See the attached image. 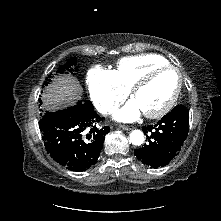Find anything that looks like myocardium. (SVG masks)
Wrapping results in <instances>:
<instances>
[{
    "instance_id": "myocardium-1",
    "label": "myocardium",
    "mask_w": 221,
    "mask_h": 221,
    "mask_svg": "<svg viewBox=\"0 0 221 221\" xmlns=\"http://www.w3.org/2000/svg\"><path fill=\"white\" fill-rule=\"evenodd\" d=\"M166 70H172V71L176 72V74L178 76L177 87H176L172 97L169 99V101L162 108H160L154 112H144V115L147 118H150V119L160 118V117L166 115L174 107V105L176 104V102L180 96L182 86H183V75H182L181 71L179 70V68H177L176 66L171 65V64L153 67V68L149 69L147 72H145L135 82V84L132 86V88L130 90L131 97L134 98V96L137 94V92L140 89H142L144 86H146L154 78V76L156 74H158L159 72H162V71H166Z\"/></svg>"
}]
</instances>
